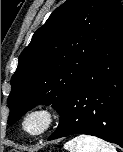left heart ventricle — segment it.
<instances>
[{"instance_id":"left-heart-ventricle-1","label":"left heart ventricle","mask_w":123,"mask_h":152,"mask_svg":"<svg viewBox=\"0 0 123 152\" xmlns=\"http://www.w3.org/2000/svg\"><path fill=\"white\" fill-rule=\"evenodd\" d=\"M44 124V118L41 115L33 116L29 119L27 127L30 131L39 130Z\"/></svg>"}]
</instances>
